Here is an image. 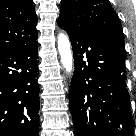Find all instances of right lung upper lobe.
I'll return each mask as SVG.
<instances>
[{
    "instance_id": "cb5924a9",
    "label": "right lung upper lobe",
    "mask_w": 136,
    "mask_h": 136,
    "mask_svg": "<svg viewBox=\"0 0 136 136\" xmlns=\"http://www.w3.org/2000/svg\"><path fill=\"white\" fill-rule=\"evenodd\" d=\"M32 0H0V52L18 48L37 36Z\"/></svg>"
}]
</instances>
